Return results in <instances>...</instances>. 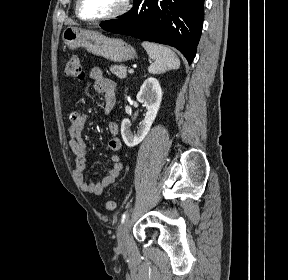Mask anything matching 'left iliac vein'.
Segmentation results:
<instances>
[{"mask_svg": "<svg viewBox=\"0 0 288 280\" xmlns=\"http://www.w3.org/2000/svg\"><path fill=\"white\" fill-rule=\"evenodd\" d=\"M131 210L129 213H127L125 220L123 223L118 227L117 230V240H118V246L121 249H125L128 246L129 241V227L131 224Z\"/></svg>", "mask_w": 288, "mask_h": 280, "instance_id": "4c4485c4", "label": "left iliac vein"}]
</instances>
